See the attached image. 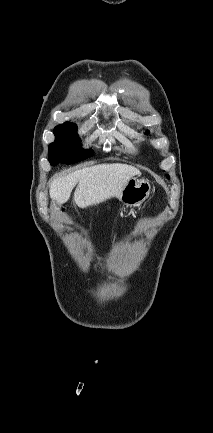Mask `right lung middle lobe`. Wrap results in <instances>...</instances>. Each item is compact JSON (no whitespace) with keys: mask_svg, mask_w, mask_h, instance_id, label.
Wrapping results in <instances>:
<instances>
[{"mask_svg":"<svg viewBox=\"0 0 213 433\" xmlns=\"http://www.w3.org/2000/svg\"><path fill=\"white\" fill-rule=\"evenodd\" d=\"M77 126L65 122L54 128L55 141L48 147V159L51 165L58 162L72 164L91 157L94 152L81 148Z\"/></svg>","mask_w":213,"mask_h":433,"instance_id":"obj_1","label":"right lung middle lobe"}]
</instances>
